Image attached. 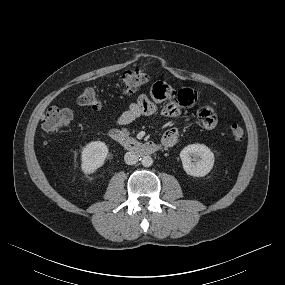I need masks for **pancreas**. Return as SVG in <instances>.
<instances>
[{
  "label": "pancreas",
  "instance_id": "1",
  "mask_svg": "<svg viewBox=\"0 0 285 285\" xmlns=\"http://www.w3.org/2000/svg\"><path fill=\"white\" fill-rule=\"evenodd\" d=\"M131 141H132L133 143H136V141H135L134 139H131Z\"/></svg>",
  "mask_w": 285,
  "mask_h": 285
}]
</instances>
